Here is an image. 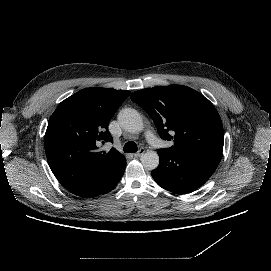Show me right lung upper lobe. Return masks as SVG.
I'll list each match as a JSON object with an SVG mask.
<instances>
[{
    "mask_svg": "<svg viewBox=\"0 0 271 271\" xmlns=\"http://www.w3.org/2000/svg\"><path fill=\"white\" fill-rule=\"evenodd\" d=\"M129 94L86 88L62 101L50 117L44 141L47 161L71 193L95 192L125 168L126 159L116 149L99 152L97 146L113 142L108 124Z\"/></svg>",
    "mask_w": 271,
    "mask_h": 271,
    "instance_id": "obj_1",
    "label": "right lung upper lobe"
}]
</instances>
